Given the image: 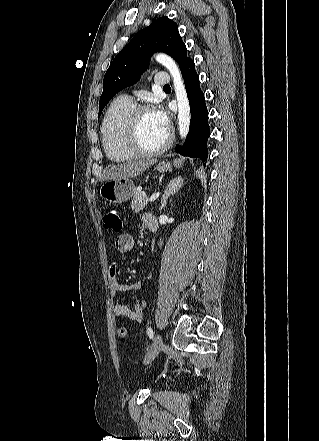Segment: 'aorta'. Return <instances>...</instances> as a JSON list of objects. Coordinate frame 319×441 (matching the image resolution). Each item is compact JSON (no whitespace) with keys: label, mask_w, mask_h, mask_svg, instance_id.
Wrapping results in <instances>:
<instances>
[{"label":"aorta","mask_w":319,"mask_h":441,"mask_svg":"<svg viewBox=\"0 0 319 441\" xmlns=\"http://www.w3.org/2000/svg\"><path fill=\"white\" fill-rule=\"evenodd\" d=\"M155 59L157 62L166 67L172 76L178 104L179 133L181 138L185 139L189 131L191 115L189 101L181 71L175 60L165 53H157L155 55Z\"/></svg>","instance_id":"obj_1"}]
</instances>
